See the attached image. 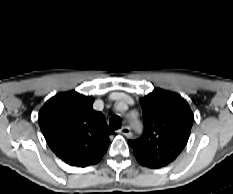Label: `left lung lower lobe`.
I'll return each instance as SVG.
<instances>
[{"label":"left lung lower lobe","instance_id":"left-lung-lower-lobe-1","mask_svg":"<svg viewBox=\"0 0 233 194\" xmlns=\"http://www.w3.org/2000/svg\"><path fill=\"white\" fill-rule=\"evenodd\" d=\"M141 165L146 166V167H150V168H159V167H163L165 165L159 164V163H154V162H149L146 160H137Z\"/></svg>","mask_w":233,"mask_h":194}]
</instances>
